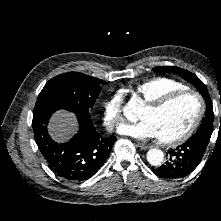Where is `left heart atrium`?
I'll return each instance as SVG.
<instances>
[{"instance_id": "obj_1", "label": "left heart atrium", "mask_w": 221, "mask_h": 221, "mask_svg": "<svg viewBox=\"0 0 221 221\" xmlns=\"http://www.w3.org/2000/svg\"><path fill=\"white\" fill-rule=\"evenodd\" d=\"M118 132L139 140L158 138L154 126L148 120H141L133 124H123L118 128Z\"/></svg>"}]
</instances>
